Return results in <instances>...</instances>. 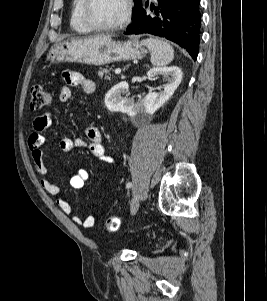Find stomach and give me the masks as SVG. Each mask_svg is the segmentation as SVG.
Wrapping results in <instances>:
<instances>
[{"instance_id": "stomach-1", "label": "stomach", "mask_w": 267, "mask_h": 301, "mask_svg": "<svg viewBox=\"0 0 267 301\" xmlns=\"http://www.w3.org/2000/svg\"><path fill=\"white\" fill-rule=\"evenodd\" d=\"M146 53L144 45L134 39L116 42L111 37H90L67 39L53 45L47 55V61L100 66L122 60L141 59Z\"/></svg>"}]
</instances>
